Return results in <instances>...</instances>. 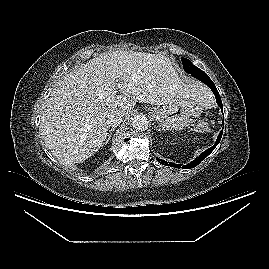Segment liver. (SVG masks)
<instances>
[{"mask_svg":"<svg viewBox=\"0 0 269 269\" xmlns=\"http://www.w3.org/2000/svg\"><path fill=\"white\" fill-rule=\"evenodd\" d=\"M189 97L213 104L203 84L179 77L163 55L119 50L93 58L59 80L47 99L45 146L63 165L82 163L104 144L111 112L125 115L136 102L160 106Z\"/></svg>","mask_w":269,"mask_h":269,"instance_id":"obj_1","label":"liver"}]
</instances>
